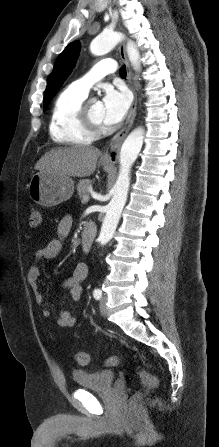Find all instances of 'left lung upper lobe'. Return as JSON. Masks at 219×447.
<instances>
[{
  "label": "left lung upper lobe",
  "instance_id": "obj_1",
  "mask_svg": "<svg viewBox=\"0 0 219 447\" xmlns=\"http://www.w3.org/2000/svg\"><path fill=\"white\" fill-rule=\"evenodd\" d=\"M79 50V41H74L70 43L58 56L54 64V69L50 74L49 81L47 83L43 104L44 110H46L50 101L70 74L76 62Z\"/></svg>",
  "mask_w": 219,
  "mask_h": 447
}]
</instances>
